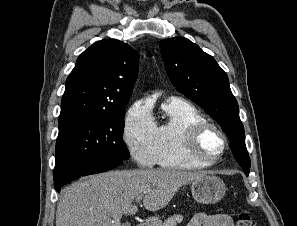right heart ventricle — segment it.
<instances>
[{"label": "right heart ventricle", "instance_id": "right-heart-ventricle-1", "mask_svg": "<svg viewBox=\"0 0 297 226\" xmlns=\"http://www.w3.org/2000/svg\"><path fill=\"white\" fill-rule=\"evenodd\" d=\"M165 120L157 127V163L170 169H199L206 167L185 152L184 135L187 129L207 121L205 115L188 101L171 98L163 106Z\"/></svg>", "mask_w": 297, "mask_h": 226}]
</instances>
